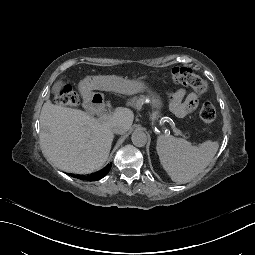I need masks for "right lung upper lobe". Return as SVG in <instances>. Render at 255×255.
Listing matches in <instances>:
<instances>
[{"label": "right lung upper lobe", "instance_id": "obj_1", "mask_svg": "<svg viewBox=\"0 0 255 255\" xmlns=\"http://www.w3.org/2000/svg\"><path fill=\"white\" fill-rule=\"evenodd\" d=\"M111 168V164L107 165L105 168H103L102 170L96 172V173H93L91 175H87V176H84V175H79V176H76V175H73L75 177H79L83 180H96L97 178H100L102 175H106L109 170Z\"/></svg>", "mask_w": 255, "mask_h": 255}]
</instances>
